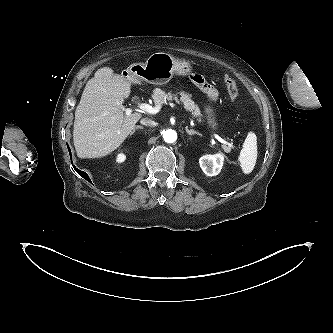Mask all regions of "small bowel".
Here are the masks:
<instances>
[{
	"mask_svg": "<svg viewBox=\"0 0 333 333\" xmlns=\"http://www.w3.org/2000/svg\"><path fill=\"white\" fill-rule=\"evenodd\" d=\"M193 83L203 92L207 95L209 100L215 102L218 98V92L217 90L209 84L202 75L200 74H194L191 76Z\"/></svg>",
	"mask_w": 333,
	"mask_h": 333,
	"instance_id": "obj_1",
	"label": "small bowel"
}]
</instances>
